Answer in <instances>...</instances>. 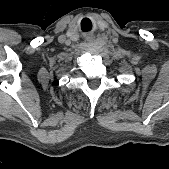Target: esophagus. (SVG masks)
<instances>
[{"instance_id": "obj_1", "label": "esophagus", "mask_w": 169, "mask_h": 169, "mask_svg": "<svg viewBox=\"0 0 169 169\" xmlns=\"http://www.w3.org/2000/svg\"><path fill=\"white\" fill-rule=\"evenodd\" d=\"M86 39L89 41V40H92L93 37L92 36H88Z\"/></svg>"}]
</instances>
